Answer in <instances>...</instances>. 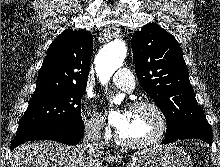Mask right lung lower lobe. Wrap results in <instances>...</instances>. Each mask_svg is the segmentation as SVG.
Wrapping results in <instances>:
<instances>
[{"mask_svg": "<svg viewBox=\"0 0 220 167\" xmlns=\"http://www.w3.org/2000/svg\"><path fill=\"white\" fill-rule=\"evenodd\" d=\"M84 134V125L76 128L43 129L33 133L16 135L11 143V150L29 140H55L66 144H75Z\"/></svg>", "mask_w": 220, "mask_h": 167, "instance_id": "right-lung-lower-lobe-1", "label": "right lung lower lobe"}]
</instances>
